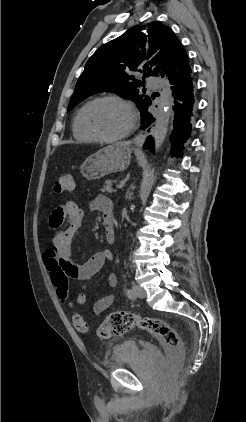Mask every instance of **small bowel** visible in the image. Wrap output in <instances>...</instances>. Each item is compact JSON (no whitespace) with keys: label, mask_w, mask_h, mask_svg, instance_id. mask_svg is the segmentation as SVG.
I'll use <instances>...</instances> for the list:
<instances>
[{"label":"small bowel","mask_w":246,"mask_h":422,"mask_svg":"<svg viewBox=\"0 0 246 422\" xmlns=\"http://www.w3.org/2000/svg\"><path fill=\"white\" fill-rule=\"evenodd\" d=\"M91 209L102 212L104 223L109 220L112 222V203L105 196H98L90 205ZM84 218V211L74 202H67L64 205L55 208L49 218V228L56 231L52 246L45 254V260L48 262L50 257L57 256L67 267L68 275L75 279H89L99 272L107 261L112 260V253L108 249H103L85 263L78 265L72 261L71 243L74 236L80 229ZM64 220H67L68 226L64 230H58ZM110 287H116L117 276L110 274L108 276ZM115 296L112 294L99 297L92 306L94 314L99 315L106 311L114 302ZM72 307V304H69Z\"/></svg>","instance_id":"c3829d8e"}]
</instances>
